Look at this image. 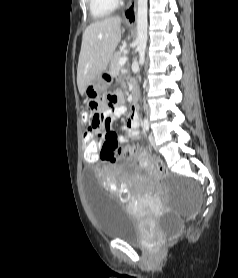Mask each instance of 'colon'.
I'll use <instances>...</instances> for the list:
<instances>
[{
  "label": "colon",
  "mask_w": 238,
  "mask_h": 278,
  "mask_svg": "<svg viewBox=\"0 0 238 278\" xmlns=\"http://www.w3.org/2000/svg\"><path fill=\"white\" fill-rule=\"evenodd\" d=\"M107 100H117L115 95H109ZM96 111V106L91 104L84 113L85 119L90 122ZM84 136H92V131H84ZM83 149L86 162H97V159H105L110 162H115L121 157H131L136 155H146L143 151L135 147L121 148L115 142H109L105 145L103 137H83ZM148 158L149 164L155 169L157 174L161 177L167 175V169L163 161L159 158ZM180 233H174L169 237L170 241H174L179 237Z\"/></svg>",
  "instance_id": "obj_1"
}]
</instances>
